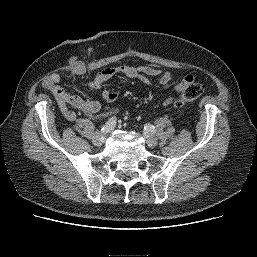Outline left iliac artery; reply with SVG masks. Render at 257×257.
Here are the masks:
<instances>
[{
	"mask_svg": "<svg viewBox=\"0 0 257 257\" xmlns=\"http://www.w3.org/2000/svg\"><path fill=\"white\" fill-rule=\"evenodd\" d=\"M144 129L146 130V132H150L152 134L156 133V129H155V127L153 125L146 124Z\"/></svg>",
	"mask_w": 257,
	"mask_h": 257,
	"instance_id": "left-iliac-artery-1",
	"label": "left iliac artery"
}]
</instances>
